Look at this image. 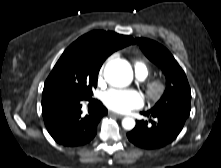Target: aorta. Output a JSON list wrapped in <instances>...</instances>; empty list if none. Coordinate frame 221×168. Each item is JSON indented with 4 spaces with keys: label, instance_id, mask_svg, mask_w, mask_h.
I'll return each mask as SVG.
<instances>
[{
    "label": "aorta",
    "instance_id": "1",
    "mask_svg": "<svg viewBox=\"0 0 221 168\" xmlns=\"http://www.w3.org/2000/svg\"><path fill=\"white\" fill-rule=\"evenodd\" d=\"M104 77L111 86L125 87L132 82L133 70L128 61L114 59L106 64ZM122 127L125 130H132L135 127V120L131 117H125L122 120Z\"/></svg>",
    "mask_w": 221,
    "mask_h": 168
}]
</instances>
